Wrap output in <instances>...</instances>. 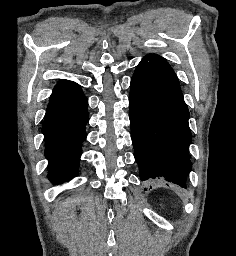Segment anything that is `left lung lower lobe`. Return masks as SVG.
I'll use <instances>...</instances> for the list:
<instances>
[{"mask_svg":"<svg viewBox=\"0 0 236 256\" xmlns=\"http://www.w3.org/2000/svg\"><path fill=\"white\" fill-rule=\"evenodd\" d=\"M130 87L131 137L141 181L186 188L192 135L181 89L139 68Z\"/></svg>","mask_w":236,"mask_h":256,"instance_id":"1","label":"left lung lower lobe"}]
</instances>
